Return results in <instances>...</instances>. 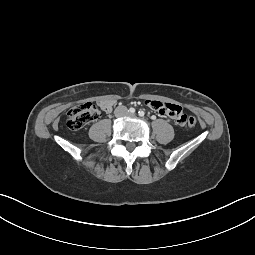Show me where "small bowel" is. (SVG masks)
<instances>
[{
  "label": "small bowel",
  "instance_id": "1",
  "mask_svg": "<svg viewBox=\"0 0 255 255\" xmlns=\"http://www.w3.org/2000/svg\"><path fill=\"white\" fill-rule=\"evenodd\" d=\"M115 103L116 101L113 99H105L99 102V106L104 112L110 113ZM145 103L149 108L155 110L159 114L167 116L177 128L185 126L188 123V116L178 105L161 102L158 100H147Z\"/></svg>",
  "mask_w": 255,
  "mask_h": 255
}]
</instances>
